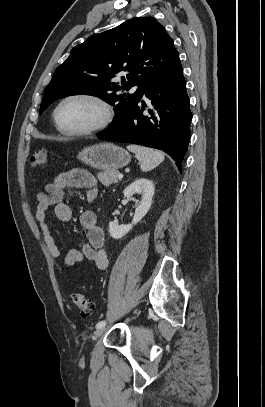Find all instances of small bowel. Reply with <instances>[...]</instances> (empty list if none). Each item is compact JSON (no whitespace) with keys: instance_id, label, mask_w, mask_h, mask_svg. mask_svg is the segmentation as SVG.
<instances>
[{"instance_id":"obj_1","label":"small bowel","mask_w":265,"mask_h":407,"mask_svg":"<svg viewBox=\"0 0 265 407\" xmlns=\"http://www.w3.org/2000/svg\"><path fill=\"white\" fill-rule=\"evenodd\" d=\"M69 187L83 190L88 199H93L96 195L97 182L90 172L73 169L56 176L51 183L45 185L44 191H39L36 195L35 219L43 234L46 247L55 259H60V251L56 238L46 222V210L53 206L54 214L59 221H70L73 216L72 208L63 202L65 189ZM80 225L86 232V240L77 242L76 246L67 252L63 258L64 266L71 268L76 263L89 260L97 269L105 270L108 266V257L104 250L105 234L98 224L95 213L84 212L80 217Z\"/></svg>"}]
</instances>
